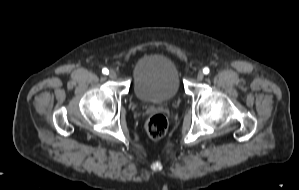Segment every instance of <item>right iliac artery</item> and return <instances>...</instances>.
I'll return each instance as SVG.
<instances>
[{"label": "right iliac artery", "instance_id": "obj_1", "mask_svg": "<svg viewBox=\"0 0 299 190\" xmlns=\"http://www.w3.org/2000/svg\"><path fill=\"white\" fill-rule=\"evenodd\" d=\"M102 73H103L104 75H108V74H109V70H108L107 68H103V69H102Z\"/></svg>", "mask_w": 299, "mask_h": 190}]
</instances>
